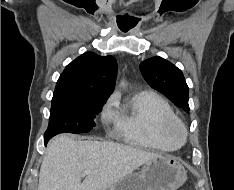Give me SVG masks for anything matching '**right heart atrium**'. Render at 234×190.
<instances>
[{
    "label": "right heart atrium",
    "mask_w": 234,
    "mask_h": 190,
    "mask_svg": "<svg viewBox=\"0 0 234 190\" xmlns=\"http://www.w3.org/2000/svg\"><path fill=\"white\" fill-rule=\"evenodd\" d=\"M115 96H110L101 109V121L103 125H108L116 120Z\"/></svg>",
    "instance_id": "d8ad5b80"
}]
</instances>
